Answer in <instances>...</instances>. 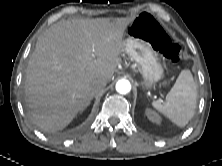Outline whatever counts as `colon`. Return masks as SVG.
I'll list each match as a JSON object with an SVG mask.
<instances>
[{
    "label": "colon",
    "instance_id": "5ec220e1",
    "mask_svg": "<svg viewBox=\"0 0 222 166\" xmlns=\"http://www.w3.org/2000/svg\"><path fill=\"white\" fill-rule=\"evenodd\" d=\"M129 34L149 43L153 49L172 63L180 61L179 45L172 40L163 25L151 14H140L130 26Z\"/></svg>",
    "mask_w": 222,
    "mask_h": 166
}]
</instances>
